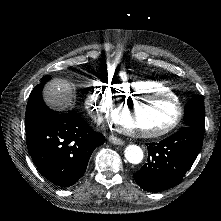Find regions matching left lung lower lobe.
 <instances>
[{
  "mask_svg": "<svg viewBox=\"0 0 221 221\" xmlns=\"http://www.w3.org/2000/svg\"><path fill=\"white\" fill-rule=\"evenodd\" d=\"M204 132L185 126L159 143H148V161L133 177L148 192L178 185L191 168L203 143Z\"/></svg>",
  "mask_w": 221,
  "mask_h": 221,
  "instance_id": "left-lung-lower-lobe-1",
  "label": "left lung lower lobe"
}]
</instances>
